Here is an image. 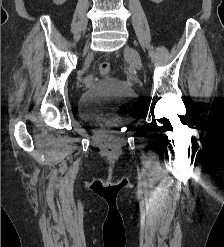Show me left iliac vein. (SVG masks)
I'll return each instance as SVG.
<instances>
[{
    "label": "left iliac vein",
    "instance_id": "1",
    "mask_svg": "<svg viewBox=\"0 0 224 247\" xmlns=\"http://www.w3.org/2000/svg\"><path fill=\"white\" fill-rule=\"evenodd\" d=\"M124 53L131 60L136 69L140 71L142 69V62L139 53L130 46L125 47Z\"/></svg>",
    "mask_w": 224,
    "mask_h": 247
}]
</instances>
